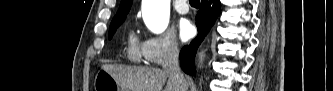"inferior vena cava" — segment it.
<instances>
[{
  "label": "inferior vena cava",
  "instance_id": "obj_1",
  "mask_svg": "<svg viewBox=\"0 0 333 91\" xmlns=\"http://www.w3.org/2000/svg\"><path fill=\"white\" fill-rule=\"evenodd\" d=\"M163 70L168 73L170 79L176 80L183 87L185 78L180 70L179 50L176 43H172L166 50Z\"/></svg>",
  "mask_w": 333,
  "mask_h": 91
}]
</instances>
